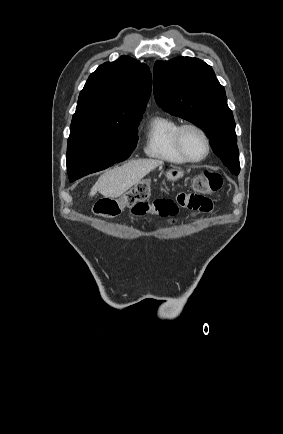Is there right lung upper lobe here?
Segmentation results:
<instances>
[{
	"instance_id": "cb5924a9",
	"label": "right lung upper lobe",
	"mask_w": 283,
	"mask_h": 434,
	"mask_svg": "<svg viewBox=\"0 0 283 434\" xmlns=\"http://www.w3.org/2000/svg\"><path fill=\"white\" fill-rule=\"evenodd\" d=\"M152 76L147 65L129 56L106 62L93 72L80 92L75 122H121L142 118Z\"/></svg>"
}]
</instances>
